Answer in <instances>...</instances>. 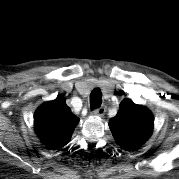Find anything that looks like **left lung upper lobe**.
<instances>
[{
	"label": "left lung upper lobe",
	"instance_id": "1",
	"mask_svg": "<svg viewBox=\"0 0 179 179\" xmlns=\"http://www.w3.org/2000/svg\"><path fill=\"white\" fill-rule=\"evenodd\" d=\"M153 122V115L146 107L125 99L117 115L110 119L109 127L116 142L132 150L148 140L153 131Z\"/></svg>",
	"mask_w": 179,
	"mask_h": 179
}]
</instances>
